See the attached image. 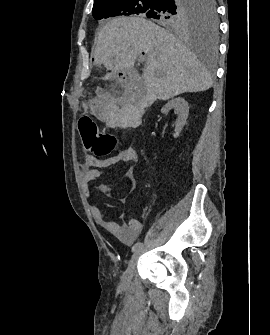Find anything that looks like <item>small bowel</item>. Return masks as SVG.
<instances>
[{
	"mask_svg": "<svg viewBox=\"0 0 270 335\" xmlns=\"http://www.w3.org/2000/svg\"><path fill=\"white\" fill-rule=\"evenodd\" d=\"M137 159V152L133 147H127L117 154L108 157L106 159H97L92 155H84L83 162L81 165V181L83 186L88 189L91 182L96 180L101 175V170L103 168L121 163V162H131ZM135 170L130 167L126 171V178L133 182L134 181ZM120 202L122 204L128 205L130 203V197L128 195H123L120 197ZM90 211L96 222L107 232L112 234L118 240L124 244L133 243L138 236L141 234L144 224L132 217L130 212L123 214L124 223L118 224L114 221L107 219L103 211L96 205L90 206Z\"/></svg>",
	"mask_w": 270,
	"mask_h": 335,
	"instance_id": "1",
	"label": "small bowel"
}]
</instances>
